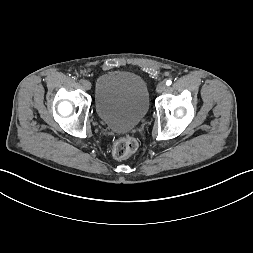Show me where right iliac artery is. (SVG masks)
Returning a JSON list of instances; mask_svg holds the SVG:
<instances>
[{
	"label": "right iliac artery",
	"instance_id": "1",
	"mask_svg": "<svg viewBox=\"0 0 253 253\" xmlns=\"http://www.w3.org/2000/svg\"><path fill=\"white\" fill-rule=\"evenodd\" d=\"M84 81H85V80H83V79L79 80V82L82 83V84L84 83Z\"/></svg>",
	"mask_w": 253,
	"mask_h": 253
}]
</instances>
